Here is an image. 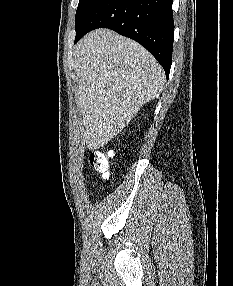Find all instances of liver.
Segmentation results:
<instances>
[{
  "label": "liver",
  "mask_w": 233,
  "mask_h": 286,
  "mask_svg": "<svg viewBox=\"0 0 233 286\" xmlns=\"http://www.w3.org/2000/svg\"><path fill=\"white\" fill-rule=\"evenodd\" d=\"M75 72L83 138L91 150L116 136L165 83L162 67L145 48L106 29L90 32L76 45Z\"/></svg>",
  "instance_id": "liver-1"
}]
</instances>
